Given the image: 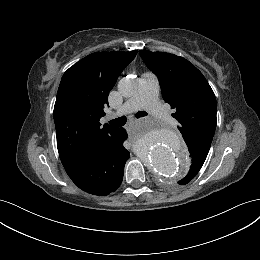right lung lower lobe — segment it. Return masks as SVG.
<instances>
[{"mask_svg": "<svg viewBox=\"0 0 260 260\" xmlns=\"http://www.w3.org/2000/svg\"><path fill=\"white\" fill-rule=\"evenodd\" d=\"M124 128L109 139L96 144L64 166L65 171L83 191L93 195H108L120 186L124 166L130 153L123 146L127 139Z\"/></svg>", "mask_w": 260, "mask_h": 260, "instance_id": "obj_1", "label": "right lung lower lobe"}]
</instances>
